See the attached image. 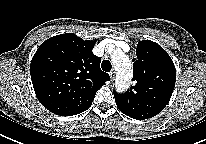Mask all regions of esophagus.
<instances>
[{
	"label": "esophagus",
	"mask_w": 206,
	"mask_h": 144,
	"mask_svg": "<svg viewBox=\"0 0 206 144\" xmlns=\"http://www.w3.org/2000/svg\"><path fill=\"white\" fill-rule=\"evenodd\" d=\"M109 76H110V79L113 81L115 79V76H116L115 71H111L109 73Z\"/></svg>",
	"instance_id": "34e87169"
}]
</instances>
